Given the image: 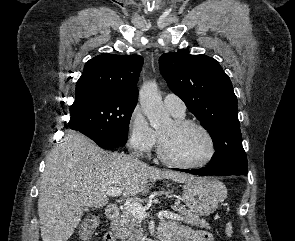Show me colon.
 I'll use <instances>...</instances> for the list:
<instances>
[{"label":"colon","mask_w":295,"mask_h":241,"mask_svg":"<svg viewBox=\"0 0 295 241\" xmlns=\"http://www.w3.org/2000/svg\"><path fill=\"white\" fill-rule=\"evenodd\" d=\"M98 225V220L94 217L87 218L81 225L80 237L84 241H88L94 234Z\"/></svg>","instance_id":"5ec220e1"}]
</instances>
